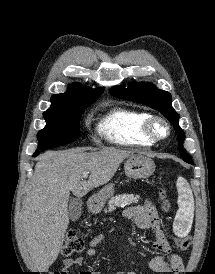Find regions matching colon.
I'll list each match as a JSON object with an SVG mask.
<instances>
[{
    "mask_svg": "<svg viewBox=\"0 0 215 274\" xmlns=\"http://www.w3.org/2000/svg\"><path fill=\"white\" fill-rule=\"evenodd\" d=\"M160 197L163 200L164 209L169 208V203L167 200V194L164 189L160 191ZM176 244L182 248L186 249L189 247V240L187 238H178L176 239ZM84 247L83 240L79 237L76 230H69L66 234V238L62 247V255L65 257H69L75 253L81 252ZM54 274H63V271L55 272Z\"/></svg>",
    "mask_w": 215,
    "mask_h": 274,
    "instance_id": "5ec220e1",
    "label": "colon"
}]
</instances>
